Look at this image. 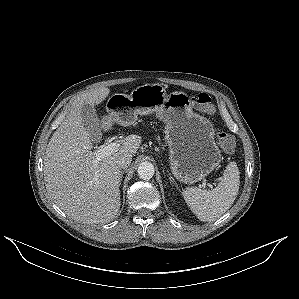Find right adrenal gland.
I'll use <instances>...</instances> for the list:
<instances>
[{"mask_svg": "<svg viewBox=\"0 0 299 299\" xmlns=\"http://www.w3.org/2000/svg\"><path fill=\"white\" fill-rule=\"evenodd\" d=\"M123 171L121 172V178L123 177ZM121 185V179H120V181H119V186Z\"/></svg>", "mask_w": 299, "mask_h": 299, "instance_id": "right-adrenal-gland-1", "label": "right adrenal gland"}]
</instances>
